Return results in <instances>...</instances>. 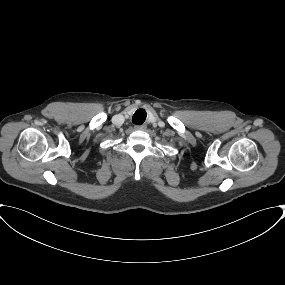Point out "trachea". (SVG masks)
<instances>
[{
	"label": "trachea",
	"mask_w": 285,
	"mask_h": 285,
	"mask_svg": "<svg viewBox=\"0 0 285 285\" xmlns=\"http://www.w3.org/2000/svg\"><path fill=\"white\" fill-rule=\"evenodd\" d=\"M146 116H147L146 111L140 108L134 113L132 117V122L134 124L141 125L145 122Z\"/></svg>",
	"instance_id": "trachea-1"
}]
</instances>
